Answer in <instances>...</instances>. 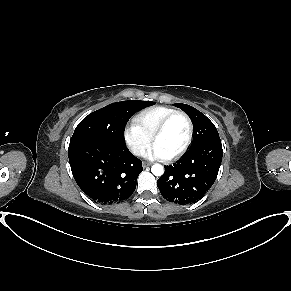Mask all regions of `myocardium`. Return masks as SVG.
<instances>
[{
	"mask_svg": "<svg viewBox=\"0 0 291 291\" xmlns=\"http://www.w3.org/2000/svg\"><path fill=\"white\" fill-rule=\"evenodd\" d=\"M177 116H181L185 119L186 123H187V127H188V135H187V139L186 142L184 143V145L182 146V148L177 151L175 154L169 156L168 159H178L180 158L182 155H184V153L188 150V148L190 147L191 143H192V139H193V123L191 118L183 111H175L171 114H169L168 116H166L162 122L159 124V126L157 127V129L155 130V132L152 135V141L155 142V140L164 133V131L166 130V128L168 127L169 123L172 121V119H174Z\"/></svg>",
	"mask_w": 291,
	"mask_h": 291,
	"instance_id": "1",
	"label": "myocardium"
}]
</instances>
